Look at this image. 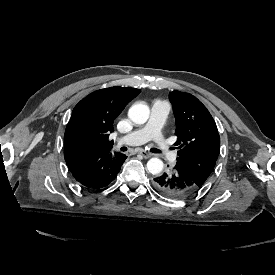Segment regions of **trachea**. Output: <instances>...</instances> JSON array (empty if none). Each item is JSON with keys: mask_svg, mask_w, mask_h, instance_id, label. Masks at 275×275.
<instances>
[{"mask_svg": "<svg viewBox=\"0 0 275 275\" xmlns=\"http://www.w3.org/2000/svg\"><path fill=\"white\" fill-rule=\"evenodd\" d=\"M154 153H161L162 151L160 150V149H155L154 148V151H153Z\"/></svg>", "mask_w": 275, "mask_h": 275, "instance_id": "1", "label": "trachea"}]
</instances>
